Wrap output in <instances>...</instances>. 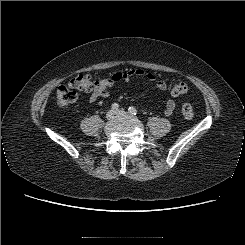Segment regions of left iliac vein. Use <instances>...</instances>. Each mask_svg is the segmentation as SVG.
<instances>
[{"label": "left iliac vein", "instance_id": "left-iliac-vein-1", "mask_svg": "<svg viewBox=\"0 0 245 245\" xmlns=\"http://www.w3.org/2000/svg\"><path fill=\"white\" fill-rule=\"evenodd\" d=\"M115 114L116 115H119V116H125V115H127V113L124 110H117V111H115Z\"/></svg>", "mask_w": 245, "mask_h": 245}]
</instances>
